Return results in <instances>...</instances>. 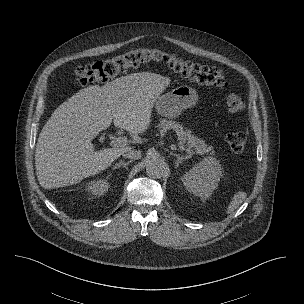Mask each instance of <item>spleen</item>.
Returning a JSON list of instances; mask_svg holds the SVG:
<instances>
[{"mask_svg":"<svg viewBox=\"0 0 304 304\" xmlns=\"http://www.w3.org/2000/svg\"><path fill=\"white\" fill-rule=\"evenodd\" d=\"M247 194L245 192L239 191L236 194H234L231 202L229 203L226 213L230 214L234 210H236L240 204L246 199Z\"/></svg>","mask_w":304,"mask_h":304,"instance_id":"1","label":"spleen"}]
</instances>
